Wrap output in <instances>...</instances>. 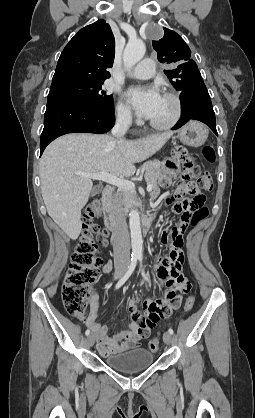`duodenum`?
Returning a JSON list of instances; mask_svg holds the SVG:
<instances>
[{
    "label": "duodenum",
    "mask_w": 255,
    "mask_h": 418,
    "mask_svg": "<svg viewBox=\"0 0 255 418\" xmlns=\"http://www.w3.org/2000/svg\"><path fill=\"white\" fill-rule=\"evenodd\" d=\"M102 203L104 210V222L106 228L111 232H118L120 229V220L117 211L113 205V189L111 186H106L102 192ZM153 223V214L148 212L142 219L143 231L147 233Z\"/></svg>",
    "instance_id": "obj_1"
}]
</instances>
